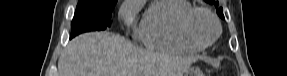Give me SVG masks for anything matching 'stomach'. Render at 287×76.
Wrapping results in <instances>:
<instances>
[{"label": "stomach", "mask_w": 287, "mask_h": 76, "mask_svg": "<svg viewBox=\"0 0 287 76\" xmlns=\"http://www.w3.org/2000/svg\"><path fill=\"white\" fill-rule=\"evenodd\" d=\"M186 76H203V74L199 69L192 67L187 71Z\"/></svg>", "instance_id": "obj_1"}]
</instances>
